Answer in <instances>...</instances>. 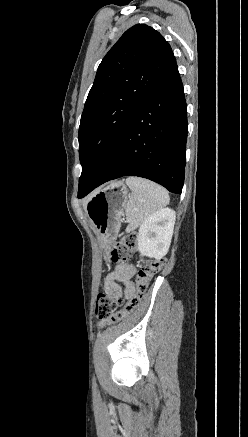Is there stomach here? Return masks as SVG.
<instances>
[{
	"label": "stomach",
	"instance_id": "0dacf381",
	"mask_svg": "<svg viewBox=\"0 0 248 437\" xmlns=\"http://www.w3.org/2000/svg\"><path fill=\"white\" fill-rule=\"evenodd\" d=\"M121 185H109L96 192L85 204L86 214L98 232L104 248L113 243L126 209L128 194Z\"/></svg>",
	"mask_w": 248,
	"mask_h": 437
}]
</instances>
